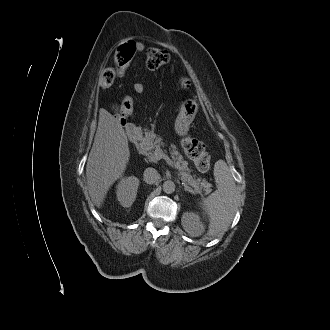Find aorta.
I'll return each instance as SVG.
<instances>
[{
  "instance_id": "aorta-1",
  "label": "aorta",
  "mask_w": 330,
  "mask_h": 330,
  "mask_svg": "<svg viewBox=\"0 0 330 330\" xmlns=\"http://www.w3.org/2000/svg\"><path fill=\"white\" fill-rule=\"evenodd\" d=\"M163 191L167 194H171L175 191V183L171 180H167L163 183Z\"/></svg>"
}]
</instances>
